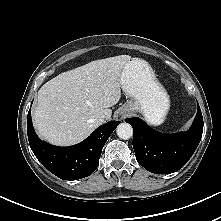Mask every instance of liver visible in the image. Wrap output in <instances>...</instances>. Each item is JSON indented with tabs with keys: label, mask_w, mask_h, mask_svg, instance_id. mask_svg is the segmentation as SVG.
I'll use <instances>...</instances> for the list:
<instances>
[{
	"label": "liver",
	"mask_w": 221,
	"mask_h": 221,
	"mask_svg": "<svg viewBox=\"0 0 221 221\" xmlns=\"http://www.w3.org/2000/svg\"><path fill=\"white\" fill-rule=\"evenodd\" d=\"M130 59L119 55L95 60L46 82L32 115L38 134L60 146L87 138L101 125L97 122L101 115L111 118L110 107L121 98V73Z\"/></svg>",
	"instance_id": "1"
}]
</instances>
